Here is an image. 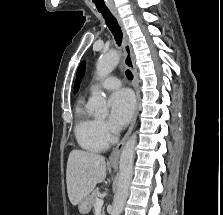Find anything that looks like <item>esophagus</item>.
<instances>
[{"mask_svg": "<svg viewBox=\"0 0 223 215\" xmlns=\"http://www.w3.org/2000/svg\"><path fill=\"white\" fill-rule=\"evenodd\" d=\"M110 10H111V13L114 15V17L116 18L118 25L120 26V28L122 30V34H123V50H124L123 64L125 67L129 68L132 71V73L134 75L135 86H136V106H135L133 118L129 125L128 131L126 132V134L124 135L122 140H120L118 145H116V147L113 149V151L111 152L110 157H109V164L112 166H116V165H118V160H119V156L122 151V148L125 145V142L128 139V137L130 136V134L133 130V127L135 125V122H136V119L138 116V112H139L141 97H140V89H139V79H138L137 69L135 67L133 50H132V46L130 44V41H129V38H128V35L126 32V29L124 27L123 20L120 17L118 10L111 9V8H110Z\"/></svg>", "mask_w": 223, "mask_h": 215, "instance_id": "obj_1", "label": "esophagus"}]
</instances>
